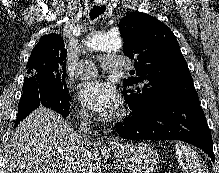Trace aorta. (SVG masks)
<instances>
[{"label": "aorta", "mask_w": 219, "mask_h": 173, "mask_svg": "<svg viewBox=\"0 0 219 173\" xmlns=\"http://www.w3.org/2000/svg\"><path fill=\"white\" fill-rule=\"evenodd\" d=\"M89 47L103 52L118 51L122 48V39L119 36L97 32L90 37Z\"/></svg>", "instance_id": "1"}]
</instances>
